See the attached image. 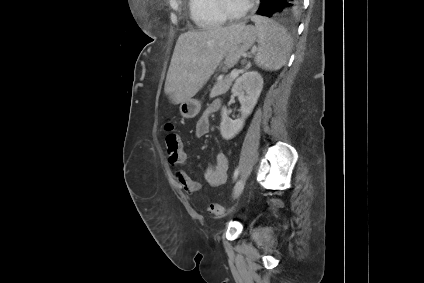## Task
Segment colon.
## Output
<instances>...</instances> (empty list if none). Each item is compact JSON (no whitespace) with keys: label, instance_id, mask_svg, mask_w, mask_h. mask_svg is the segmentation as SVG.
I'll return each instance as SVG.
<instances>
[{"label":"colon","instance_id":"1","mask_svg":"<svg viewBox=\"0 0 424 283\" xmlns=\"http://www.w3.org/2000/svg\"><path fill=\"white\" fill-rule=\"evenodd\" d=\"M165 130H166V136H165L166 148H170L172 151H175V154H177L182 149V146H183L182 140L179 137V135L175 133L174 125L172 123H167L165 126ZM176 160H177L176 157H172V161H176ZM209 210L210 212H212L214 215L218 217H222L225 214V209L219 204H215V203L210 204Z\"/></svg>","mask_w":424,"mask_h":283}]
</instances>
